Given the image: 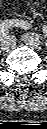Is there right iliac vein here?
<instances>
[{"instance_id":"1","label":"right iliac vein","mask_w":47,"mask_h":129,"mask_svg":"<svg viewBox=\"0 0 47 129\" xmlns=\"http://www.w3.org/2000/svg\"><path fill=\"white\" fill-rule=\"evenodd\" d=\"M15 39L13 36H7L1 43V47L4 51H10L14 48Z\"/></svg>"}]
</instances>
